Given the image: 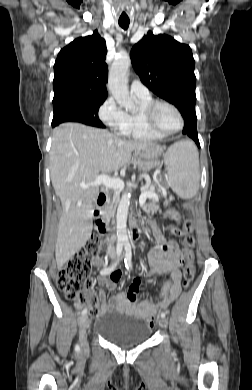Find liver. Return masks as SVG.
Instances as JSON below:
<instances>
[{
	"label": "liver",
	"instance_id": "liver-1",
	"mask_svg": "<svg viewBox=\"0 0 252 390\" xmlns=\"http://www.w3.org/2000/svg\"><path fill=\"white\" fill-rule=\"evenodd\" d=\"M162 148L151 142L125 141L107 130L80 123H63L53 130L50 151L52 186L60 198L63 214L59 221L55 256L61 268L90 239L93 202L97 186L82 188L103 174L116 172L131 160L132 152Z\"/></svg>",
	"mask_w": 252,
	"mask_h": 390
}]
</instances>
